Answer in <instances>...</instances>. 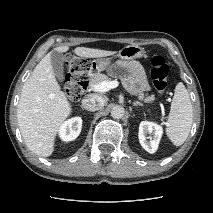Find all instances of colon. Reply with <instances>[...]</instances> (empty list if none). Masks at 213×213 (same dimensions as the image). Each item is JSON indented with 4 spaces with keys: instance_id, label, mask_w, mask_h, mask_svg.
<instances>
[{
    "instance_id": "1",
    "label": "colon",
    "mask_w": 213,
    "mask_h": 213,
    "mask_svg": "<svg viewBox=\"0 0 213 213\" xmlns=\"http://www.w3.org/2000/svg\"><path fill=\"white\" fill-rule=\"evenodd\" d=\"M89 63L86 59L69 56L66 59L67 75L64 83V92L68 99L78 100L85 91V83ZM151 77L157 91L165 93L168 86L169 67L161 56L151 60Z\"/></svg>"
}]
</instances>
